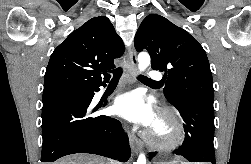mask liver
I'll return each instance as SVG.
<instances>
[{
  "instance_id": "1",
  "label": "liver",
  "mask_w": 251,
  "mask_h": 164,
  "mask_svg": "<svg viewBox=\"0 0 251 164\" xmlns=\"http://www.w3.org/2000/svg\"><path fill=\"white\" fill-rule=\"evenodd\" d=\"M54 164H116L96 155L75 154L64 157Z\"/></svg>"
}]
</instances>
